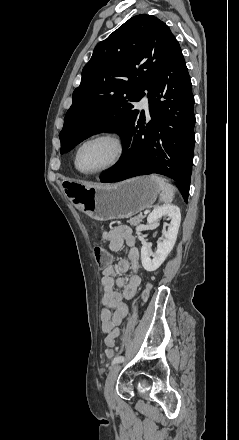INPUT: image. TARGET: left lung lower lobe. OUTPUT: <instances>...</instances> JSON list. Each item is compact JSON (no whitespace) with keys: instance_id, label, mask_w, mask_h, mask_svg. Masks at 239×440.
<instances>
[{"instance_id":"obj_1","label":"left lung lower lobe","mask_w":239,"mask_h":440,"mask_svg":"<svg viewBox=\"0 0 239 440\" xmlns=\"http://www.w3.org/2000/svg\"><path fill=\"white\" fill-rule=\"evenodd\" d=\"M148 98L152 120L146 125L144 111H139L135 122L121 136L125 146L121 161L100 181L162 174L180 184L187 201L195 143L194 96L178 43L148 89Z\"/></svg>"}]
</instances>
